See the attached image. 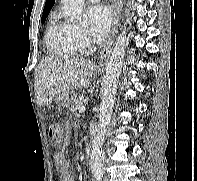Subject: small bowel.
I'll list each match as a JSON object with an SVG mask.
<instances>
[{
	"mask_svg": "<svg viewBox=\"0 0 197 181\" xmlns=\"http://www.w3.org/2000/svg\"><path fill=\"white\" fill-rule=\"evenodd\" d=\"M54 164L56 171L60 174V181H75V174L63 151L54 155Z\"/></svg>",
	"mask_w": 197,
	"mask_h": 181,
	"instance_id": "small-bowel-1",
	"label": "small bowel"
}]
</instances>
